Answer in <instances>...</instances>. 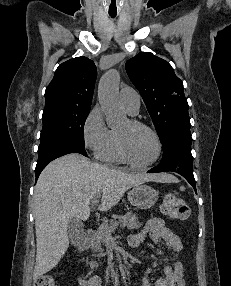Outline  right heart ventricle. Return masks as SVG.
<instances>
[{
	"label": "right heart ventricle",
	"mask_w": 231,
	"mask_h": 286,
	"mask_svg": "<svg viewBox=\"0 0 231 286\" xmlns=\"http://www.w3.org/2000/svg\"><path fill=\"white\" fill-rule=\"evenodd\" d=\"M96 157L99 161L112 165L121 164L123 162L117 152L115 131H111L109 141L96 154Z\"/></svg>",
	"instance_id": "1"
}]
</instances>
